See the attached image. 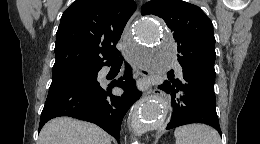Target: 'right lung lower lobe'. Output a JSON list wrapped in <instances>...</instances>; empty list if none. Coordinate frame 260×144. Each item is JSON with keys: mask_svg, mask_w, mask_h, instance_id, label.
I'll use <instances>...</instances> for the list:
<instances>
[{"mask_svg": "<svg viewBox=\"0 0 260 144\" xmlns=\"http://www.w3.org/2000/svg\"><path fill=\"white\" fill-rule=\"evenodd\" d=\"M101 68L98 67L95 75L87 80L73 79L50 86L41 113L39 131L48 120L69 116L97 124L119 143L123 117L140 98L141 92L135 87L129 65L124 77L109 84L97 81V73ZM115 86L123 88L124 93L121 96L112 94Z\"/></svg>", "mask_w": 260, "mask_h": 144, "instance_id": "obj_1", "label": "right lung lower lobe"}]
</instances>
